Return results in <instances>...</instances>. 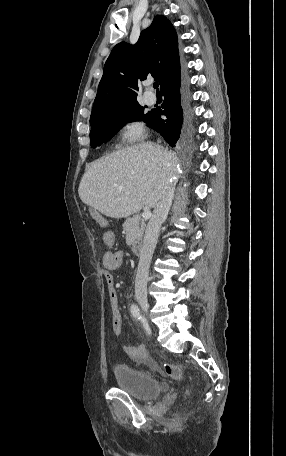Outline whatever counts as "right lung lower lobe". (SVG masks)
<instances>
[{
    "label": "right lung lower lobe",
    "mask_w": 286,
    "mask_h": 456,
    "mask_svg": "<svg viewBox=\"0 0 286 456\" xmlns=\"http://www.w3.org/2000/svg\"><path fill=\"white\" fill-rule=\"evenodd\" d=\"M165 101L161 108L153 109L149 120L151 128L160 133L166 142L174 147L191 130L192 111L188 87L179 77L161 90ZM161 115L167 118L162 119Z\"/></svg>",
    "instance_id": "right-lung-lower-lobe-1"
}]
</instances>
